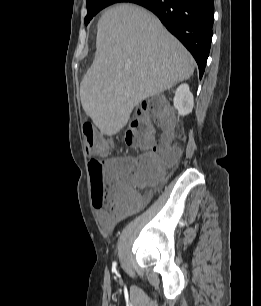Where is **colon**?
Listing matches in <instances>:
<instances>
[{
	"label": "colon",
	"mask_w": 261,
	"mask_h": 306,
	"mask_svg": "<svg viewBox=\"0 0 261 306\" xmlns=\"http://www.w3.org/2000/svg\"><path fill=\"white\" fill-rule=\"evenodd\" d=\"M163 129L162 138L155 141L153 125ZM85 149L100 154L106 143L96 139L95 129L88 124L83 127ZM174 120L161 98L153 97L140 109L126 132V143L144 153L139 157H127L105 165L98 158H91L88 168L95 196V208L114 212L133 197L134 187L159 185L167 167L173 165L179 151L172 147Z\"/></svg>",
	"instance_id": "5ec220e1"
}]
</instances>
